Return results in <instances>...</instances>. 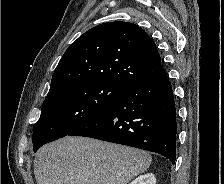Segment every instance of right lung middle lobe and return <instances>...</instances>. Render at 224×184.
Returning a JSON list of instances; mask_svg holds the SVG:
<instances>
[{"label": "right lung middle lobe", "mask_w": 224, "mask_h": 184, "mask_svg": "<svg viewBox=\"0 0 224 184\" xmlns=\"http://www.w3.org/2000/svg\"><path fill=\"white\" fill-rule=\"evenodd\" d=\"M128 86L110 81L72 85L46 98L33 126V151L69 135L103 112Z\"/></svg>", "instance_id": "right-lung-middle-lobe-1"}]
</instances>
